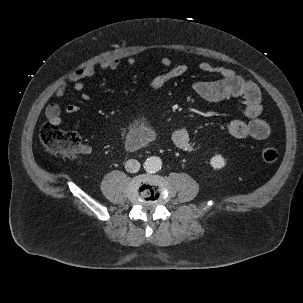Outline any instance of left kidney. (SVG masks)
<instances>
[{
    "label": "left kidney",
    "instance_id": "obj_1",
    "mask_svg": "<svg viewBox=\"0 0 303 303\" xmlns=\"http://www.w3.org/2000/svg\"><path fill=\"white\" fill-rule=\"evenodd\" d=\"M210 164L214 169H222L226 165V162L220 154H216L211 158Z\"/></svg>",
    "mask_w": 303,
    "mask_h": 303
}]
</instances>
